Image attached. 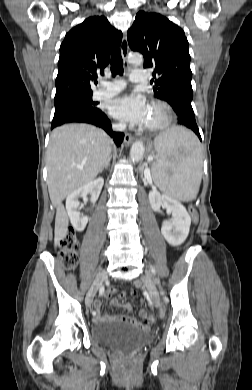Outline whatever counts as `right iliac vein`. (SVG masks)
<instances>
[{"mask_svg": "<svg viewBox=\"0 0 252 390\" xmlns=\"http://www.w3.org/2000/svg\"><path fill=\"white\" fill-rule=\"evenodd\" d=\"M106 279L107 272L105 270L99 271L85 298V304L87 308L91 307L95 294Z\"/></svg>", "mask_w": 252, "mask_h": 390, "instance_id": "right-iliac-vein-1", "label": "right iliac vein"}]
</instances>
